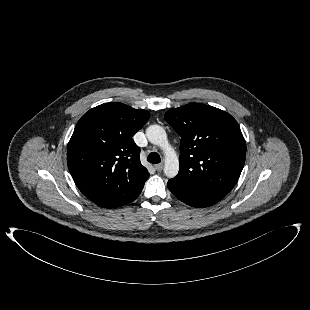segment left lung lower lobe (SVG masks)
<instances>
[{
  "instance_id": "0a47b994",
  "label": "left lung lower lobe",
  "mask_w": 310,
  "mask_h": 310,
  "mask_svg": "<svg viewBox=\"0 0 310 310\" xmlns=\"http://www.w3.org/2000/svg\"><path fill=\"white\" fill-rule=\"evenodd\" d=\"M167 186L179 200L193 207L212 206L222 199V197L216 195L189 189L171 179L168 181Z\"/></svg>"
}]
</instances>
